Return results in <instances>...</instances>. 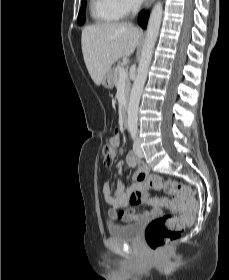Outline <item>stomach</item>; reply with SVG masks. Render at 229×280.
Here are the masks:
<instances>
[{
  "mask_svg": "<svg viewBox=\"0 0 229 280\" xmlns=\"http://www.w3.org/2000/svg\"><path fill=\"white\" fill-rule=\"evenodd\" d=\"M114 70L110 69L104 76L103 80H102V85L103 87L107 88V89H112L114 86Z\"/></svg>",
  "mask_w": 229,
  "mask_h": 280,
  "instance_id": "1",
  "label": "stomach"
}]
</instances>
